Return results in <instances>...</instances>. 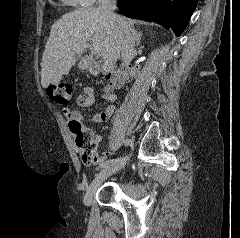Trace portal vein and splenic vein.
Instances as JSON below:
<instances>
[{
  "label": "portal vein and splenic vein",
  "instance_id": "obj_1",
  "mask_svg": "<svg viewBox=\"0 0 240 238\" xmlns=\"http://www.w3.org/2000/svg\"><path fill=\"white\" fill-rule=\"evenodd\" d=\"M87 47L91 50L92 54H97V53L93 50V48H92L91 46L87 45L86 48H87ZM112 66H113V63H112V62H110V61H105V62H104V65H103V68H104V69H111Z\"/></svg>",
  "mask_w": 240,
  "mask_h": 238
}]
</instances>
